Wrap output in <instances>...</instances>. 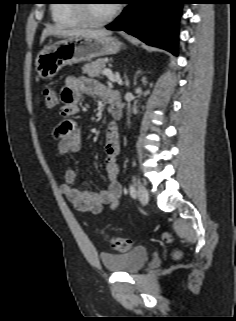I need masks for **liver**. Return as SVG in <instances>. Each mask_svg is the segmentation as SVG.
<instances>
[{
    "instance_id": "obj_1",
    "label": "liver",
    "mask_w": 236,
    "mask_h": 321,
    "mask_svg": "<svg viewBox=\"0 0 236 321\" xmlns=\"http://www.w3.org/2000/svg\"><path fill=\"white\" fill-rule=\"evenodd\" d=\"M112 32L105 29H70V30H61L54 26H47L41 35L40 42L43 43L48 36H75L81 35L89 38H99L103 36H109Z\"/></svg>"
}]
</instances>
